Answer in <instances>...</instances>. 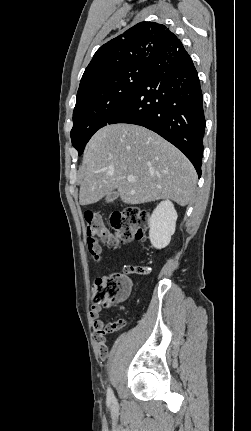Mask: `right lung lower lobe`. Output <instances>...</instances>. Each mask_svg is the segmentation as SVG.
<instances>
[{
    "mask_svg": "<svg viewBox=\"0 0 251 431\" xmlns=\"http://www.w3.org/2000/svg\"><path fill=\"white\" fill-rule=\"evenodd\" d=\"M129 123L146 127L181 150L201 176L205 117L193 61L183 48L151 58L137 90L104 126Z\"/></svg>",
    "mask_w": 251,
    "mask_h": 431,
    "instance_id": "obj_1",
    "label": "right lung lower lobe"
}]
</instances>
